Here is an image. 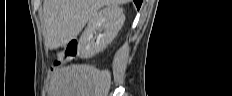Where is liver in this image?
Here are the masks:
<instances>
[{"label": "liver", "instance_id": "liver-1", "mask_svg": "<svg viewBox=\"0 0 232 96\" xmlns=\"http://www.w3.org/2000/svg\"><path fill=\"white\" fill-rule=\"evenodd\" d=\"M129 0H44L45 43L49 49L67 45L103 6L123 5Z\"/></svg>", "mask_w": 232, "mask_h": 96}]
</instances>
